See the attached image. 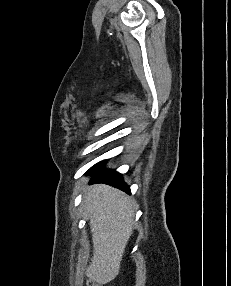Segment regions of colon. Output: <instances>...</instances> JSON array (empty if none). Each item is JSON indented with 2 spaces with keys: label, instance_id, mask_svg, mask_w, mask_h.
Here are the masks:
<instances>
[{
  "label": "colon",
  "instance_id": "1",
  "mask_svg": "<svg viewBox=\"0 0 231 286\" xmlns=\"http://www.w3.org/2000/svg\"><path fill=\"white\" fill-rule=\"evenodd\" d=\"M88 286H100V285L97 284V283H94V282H89V283H88Z\"/></svg>",
  "mask_w": 231,
  "mask_h": 286
}]
</instances>
